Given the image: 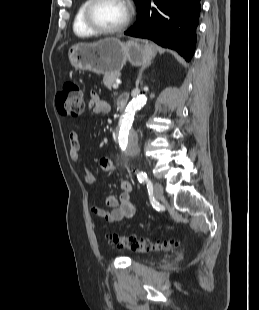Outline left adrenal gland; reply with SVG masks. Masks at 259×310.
Wrapping results in <instances>:
<instances>
[{
  "label": "left adrenal gland",
  "instance_id": "1",
  "mask_svg": "<svg viewBox=\"0 0 259 310\" xmlns=\"http://www.w3.org/2000/svg\"><path fill=\"white\" fill-rule=\"evenodd\" d=\"M145 68H142L140 71H139V76H138V82L141 81L142 79V72L144 71Z\"/></svg>",
  "mask_w": 259,
  "mask_h": 310
}]
</instances>
